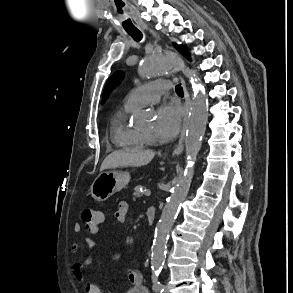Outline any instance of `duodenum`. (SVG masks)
I'll return each instance as SVG.
<instances>
[{"label":"duodenum","instance_id":"410a0bca","mask_svg":"<svg viewBox=\"0 0 293 293\" xmlns=\"http://www.w3.org/2000/svg\"><path fill=\"white\" fill-rule=\"evenodd\" d=\"M155 216H156L155 207H153V206L148 207L146 210V219H147V223L149 225H152L154 223Z\"/></svg>","mask_w":293,"mask_h":293}]
</instances>
